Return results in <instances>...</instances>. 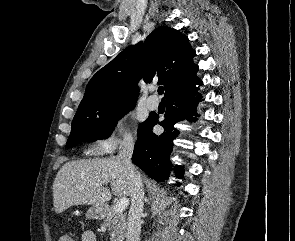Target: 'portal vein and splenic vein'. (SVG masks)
Masks as SVG:
<instances>
[{
    "instance_id": "1",
    "label": "portal vein and splenic vein",
    "mask_w": 295,
    "mask_h": 241,
    "mask_svg": "<svg viewBox=\"0 0 295 241\" xmlns=\"http://www.w3.org/2000/svg\"><path fill=\"white\" fill-rule=\"evenodd\" d=\"M129 200L128 198H121L114 206V210L116 212L122 213L128 206Z\"/></svg>"
}]
</instances>
